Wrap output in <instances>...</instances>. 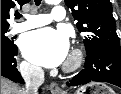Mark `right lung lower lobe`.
I'll return each instance as SVG.
<instances>
[{
	"label": "right lung lower lobe",
	"instance_id": "98d812e1",
	"mask_svg": "<svg viewBox=\"0 0 121 94\" xmlns=\"http://www.w3.org/2000/svg\"><path fill=\"white\" fill-rule=\"evenodd\" d=\"M17 50V46L1 48V76L14 82L23 83V79L16 68L15 56L17 55Z\"/></svg>",
	"mask_w": 121,
	"mask_h": 94
}]
</instances>
